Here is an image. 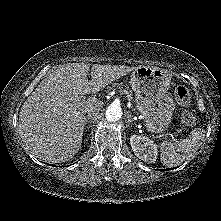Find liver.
I'll list each match as a JSON object with an SVG mask.
<instances>
[{"label": "liver", "mask_w": 221, "mask_h": 221, "mask_svg": "<svg viewBox=\"0 0 221 221\" xmlns=\"http://www.w3.org/2000/svg\"><path fill=\"white\" fill-rule=\"evenodd\" d=\"M137 67L72 63L50 73L23 103L19 134L28 150L48 163L66 162L81 148L86 109L102 105L95 97Z\"/></svg>", "instance_id": "1"}]
</instances>
